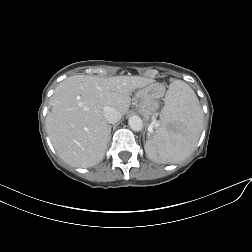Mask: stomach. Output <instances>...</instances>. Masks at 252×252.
<instances>
[{"label": "stomach", "instance_id": "1", "mask_svg": "<svg viewBox=\"0 0 252 252\" xmlns=\"http://www.w3.org/2000/svg\"><path fill=\"white\" fill-rule=\"evenodd\" d=\"M165 87L159 83H152L136 92V101L138 103V111L149 119L153 113L159 108L160 99L164 96ZM168 130L173 131L171 125H167Z\"/></svg>", "mask_w": 252, "mask_h": 252}]
</instances>
